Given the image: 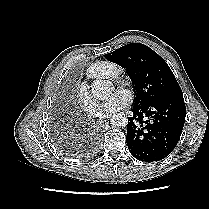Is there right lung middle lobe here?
Wrapping results in <instances>:
<instances>
[{
  "label": "right lung middle lobe",
  "mask_w": 209,
  "mask_h": 209,
  "mask_svg": "<svg viewBox=\"0 0 209 209\" xmlns=\"http://www.w3.org/2000/svg\"><path fill=\"white\" fill-rule=\"evenodd\" d=\"M57 147L60 151L68 155H78L80 154V150L76 148V146L70 142L66 143V141L62 140L61 138H57L55 140Z\"/></svg>",
  "instance_id": "dd1d6c3e"
}]
</instances>
